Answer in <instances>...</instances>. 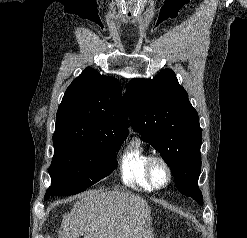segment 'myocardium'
<instances>
[{
    "label": "myocardium",
    "mask_w": 247,
    "mask_h": 238,
    "mask_svg": "<svg viewBox=\"0 0 247 238\" xmlns=\"http://www.w3.org/2000/svg\"><path fill=\"white\" fill-rule=\"evenodd\" d=\"M156 165H161L165 169L167 174L166 180L162 184L157 183L153 176V169ZM145 175L148 183L152 186V188L163 189L171 183L173 178V171L169 162L164 157L160 155H153L149 157L146 163Z\"/></svg>",
    "instance_id": "1"
}]
</instances>
